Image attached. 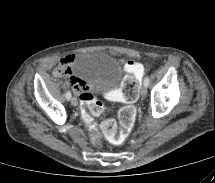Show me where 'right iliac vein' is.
I'll use <instances>...</instances> for the list:
<instances>
[{"mask_svg":"<svg viewBox=\"0 0 215 183\" xmlns=\"http://www.w3.org/2000/svg\"><path fill=\"white\" fill-rule=\"evenodd\" d=\"M71 104H72L73 106H77V105H78V101H77V99H76L75 97H73V98L71 99Z\"/></svg>","mask_w":215,"mask_h":183,"instance_id":"obj_1","label":"right iliac vein"}]
</instances>
